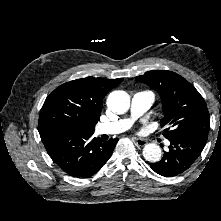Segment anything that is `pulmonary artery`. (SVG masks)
I'll use <instances>...</instances> for the list:
<instances>
[{
  "instance_id": "obj_1",
  "label": "pulmonary artery",
  "mask_w": 221,
  "mask_h": 221,
  "mask_svg": "<svg viewBox=\"0 0 221 221\" xmlns=\"http://www.w3.org/2000/svg\"><path fill=\"white\" fill-rule=\"evenodd\" d=\"M154 94L149 90L139 91L131 98L130 117L98 125L99 134H118L128 130L134 120L143 115L153 104Z\"/></svg>"
}]
</instances>
